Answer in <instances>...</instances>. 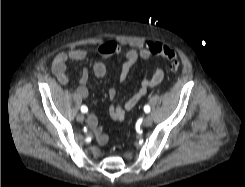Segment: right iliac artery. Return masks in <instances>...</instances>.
<instances>
[{"instance_id": "obj_1", "label": "right iliac artery", "mask_w": 245, "mask_h": 187, "mask_svg": "<svg viewBox=\"0 0 245 187\" xmlns=\"http://www.w3.org/2000/svg\"><path fill=\"white\" fill-rule=\"evenodd\" d=\"M88 111V108L86 106L81 107V112L86 113Z\"/></svg>"}]
</instances>
